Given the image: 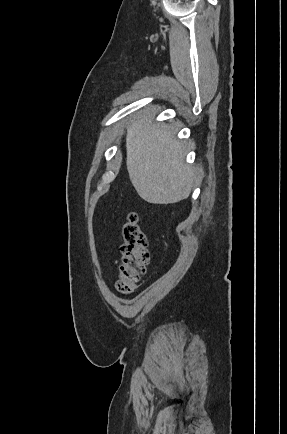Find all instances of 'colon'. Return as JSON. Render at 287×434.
<instances>
[{"mask_svg":"<svg viewBox=\"0 0 287 434\" xmlns=\"http://www.w3.org/2000/svg\"><path fill=\"white\" fill-rule=\"evenodd\" d=\"M120 250L122 263L117 276V289L129 294L139 286L150 262L148 239L136 213H130L123 226Z\"/></svg>","mask_w":287,"mask_h":434,"instance_id":"5ec220e1","label":"colon"}]
</instances>
